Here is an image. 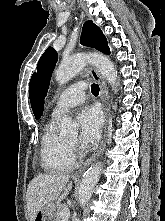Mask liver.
Segmentation results:
<instances>
[{
  "instance_id": "liver-1",
  "label": "liver",
  "mask_w": 165,
  "mask_h": 221,
  "mask_svg": "<svg viewBox=\"0 0 165 221\" xmlns=\"http://www.w3.org/2000/svg\"><path fill=\"white\" fill-rule=\"evenodd\" d=\"M68 174H39L28 185L26 201L30 221L36 214L54 201L60 203L72 189Z\"/></svg>"
}]
</instances>
